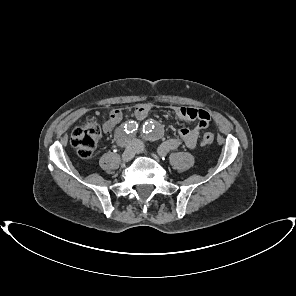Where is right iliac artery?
<instances>
[{"instance_id": "right-iliac-artery-1", "label": "right iliac artery", "mask_w": 296, "mask_h": 296, "mask_svg": "<svg viewBox=\"0 0 296 296\" xmlns=\"http://www.w3.org/2000/svg\"><path fill=\"white\" fill-rule=\"evenodd\" d=\"M138 124L134 121L128 122L127 124L123 125L118 134H117V140L118 144L121 147H124L127 145L128 141H130L128 135L135 133L137 131Z\"/></svg>"}]
</instances>
